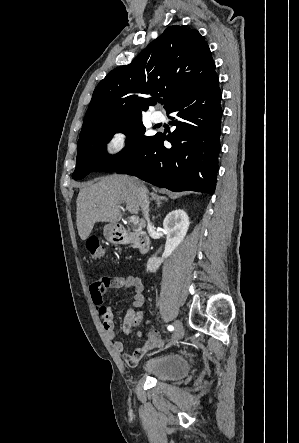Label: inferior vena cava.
Masks as SVG:
<instances>
[{"label":"inferior vena cava","mask_w":299,"mask_h":443,"mask_svg":"<svg viewBox=\"0 0 299 443\" xmlns=\"http://www.w3.org/2000/svg\"><path fill=\"white\" fill-rule=\"evenodd\" d=\"M139 195L142 200L141 209L146 220H149V200L147 196V190L143 186L138 187Z\"/></svg>","instance_id":"1"}]
</instances>
